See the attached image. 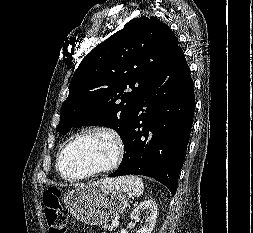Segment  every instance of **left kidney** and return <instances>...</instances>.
<instances>
[{"label": "left kidney", "mask_w": 253, "mask_h": 233, "mask_svg": "<svg viewBox=\"0 0 253 233\" xmlns=\"http://www.w3.org/2000/svg\"><path fill=\"white\" fill-rule=\"evenodd\" d=\"M157 206L154 200H146L142 202L139 206H137L133 212L131 213L132 220H138L142 213L146 212L149 214L147 219L145 220V224L139 231V233H151L157 218Z\"/></svg>", "instance_id": "1"}]
</instances>
